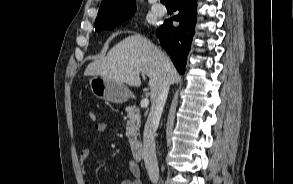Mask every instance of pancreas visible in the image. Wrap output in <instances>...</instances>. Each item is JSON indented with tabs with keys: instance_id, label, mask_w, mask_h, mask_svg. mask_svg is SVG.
Masks as SVG:
<instances>
[{
	"instance_id": "obj_1",
	"label": "pancreas",
	"mask_w": 293,
	"mask_h": 184,
	"mask_svg": "<svg viewBox=\"0 0 293 184\" xmlns=\"http://www.w3.org/2000/svg\"><path fill=\"white\" fill-rule=\"evenodd\" d=\"M127 112V123H126V137L129 142H133L138 135L139 127H140V109L136 106H128L126 107Z\"/></svg>"
}]
</instances>
